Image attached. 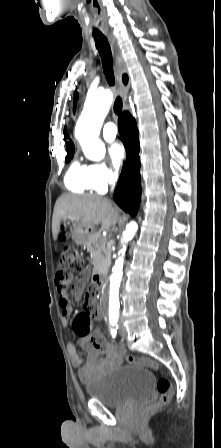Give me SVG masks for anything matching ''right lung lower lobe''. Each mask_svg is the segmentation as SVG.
<instances>
[{
  "instance_id": "obj_1",
  "label": "right lung lower lobe",
  "mask_w": 221,
  "mask_h": 448,
  "mask_svg": "<svg viewBox=\"0 0 221 448\" xmlns=\"http://www.w3.org/2000/svg\"><path fill=\"white\" fill-rule=\"evenodd\" d=\"M118 128L126 149V162L114 191V199L125 212L135 216L141 199L138 129L128 112H123L119 117Z\"/></svg>"
}]
</instances>
